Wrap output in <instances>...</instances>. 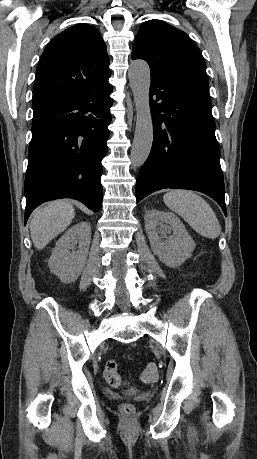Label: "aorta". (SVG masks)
Instances as JSON below:
<instances>
[{
  "mask_svg": "<svg viewBox=\"0 0 257 459\" xmlns=\"http://www.w3.org/2000/svg\"><path fill=\"white\" fill-rule=\"evenodd\" d=\"M128 78L136 107V128L130 158L133 166L140 167L148 158L153 142V123L149 105L151 77L147 62L132 61Z\"/></svg>",
  "mask_w": 257,
  "mask_h": 459,
  "instance_id": "obj_1",
  "label": "aorta"
}]
</instances>
